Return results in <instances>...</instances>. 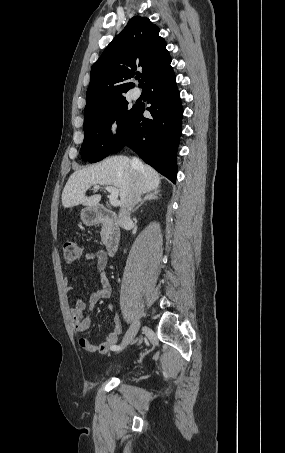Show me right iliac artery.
Returning <instances> with one entry per match:
<instances>
[{"mask_svg": "<svg viewBox=\"0 0 285 453\" xmlns=\"http://www.w3.org/2000/svg\"><path fill=\"white\" fill-rule=\"evenodd\" d=\"M120 349H121L120 346H114V347L111 348V350H120Z\"/></svg>", "mask_w": 285, "mask_h": 453, "instance_id": "right-iliac-artery-1", "label": "right iliac artery"}]
</instances>
